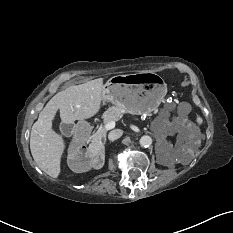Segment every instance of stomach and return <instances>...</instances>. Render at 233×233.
Segmentation results:
<instances>
[{"label":"stomach","mask_w":233,"mask_h":233,"mask_svg":"<svg viewBox=\"0 0 233 233\" xmlns=\"http://www.w3.org/2000/svg\"><path fill=\"white\" fill-rule=\"evenodd\" d=\"M167 94V85L154 72L116 75L104 84L103 102L124 108L135 115L158 109Z\"/></svg>","instance_id":"0dacf381"}]
</instances>
